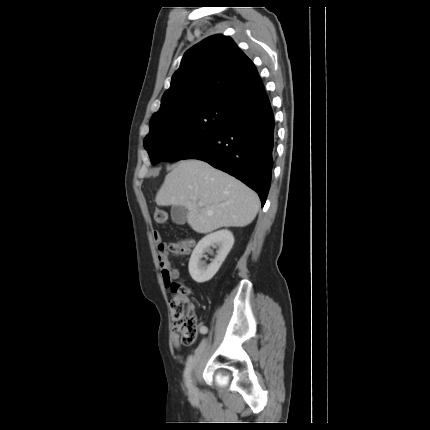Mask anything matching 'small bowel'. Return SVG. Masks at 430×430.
I'll return each mask as SVG.
<instances>
[{"instance_id": "1", "label": "small bowel", "mask_w": 430, "mask_h": 430, "mask_svg": "<svg viewBox=\"0 0 430 430\" xmlns=\"http://www.w3.org/2000/svg\"><path fill=\"white\" fill-rule=\"evenodd\" d=\"M154 239L157 243V248L160 251L161 247H165L166 244L165 242L162 240V237L159 233H155L154 234ZM158 262L162 271V280L164 282V285L166 287H173L175 285V280L176 278H178L180 276V271L177 268H170L169 267V259L166 256V254L163 251H160L157 254ZM199 332L200 334L204 335L208 332V327L205 325H201L199 327ZM171 339H172V343L174 345L175 348H180V341H179V336L178 334L173 331L171 334Z\"/></svg>"}]
</instances>
